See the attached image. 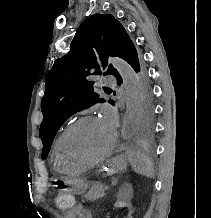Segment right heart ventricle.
<instances>
[{"label": "right heart ventricle", "mask_w": 211, "mask_h": 218, "mask_svg": "<svg viewBox=\"0 0 211 218\" xmlns=\"http://www.w3.org/2000/svg\"><path fill=\"white\" fill-rule=\"evenodd\" d=\"M66 127H64L57 135L54 145H53V157L56 160H49V165H51V169H65V164H60V160H57V150L60 144V140L62 137L63 132L65 131Z\"/></svg>", "instance_id": "e07e8e85"}]
</instances>
